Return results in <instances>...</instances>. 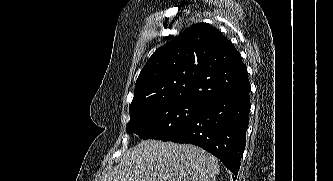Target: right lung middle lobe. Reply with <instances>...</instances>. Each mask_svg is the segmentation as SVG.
<instances>
[{"instance_id": "obj_1", "label": "right lung middle lobe", "mask_w": 333, "mask_h": 181, "mask_svg": "<svg viewBox=\"0 0 333 181\" xmlns=\"http://www.w3.org/2000/svg\"><path fill=\"white\" fill-rule=\"evenodd\" d=\"M201 106L193 101H167L140 108L130 113L126 132L144 140L168 141L195 118Z\"/></svg>"}]
</instances>
